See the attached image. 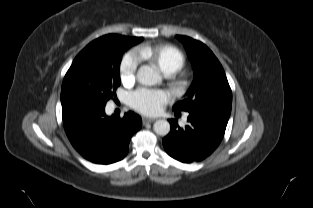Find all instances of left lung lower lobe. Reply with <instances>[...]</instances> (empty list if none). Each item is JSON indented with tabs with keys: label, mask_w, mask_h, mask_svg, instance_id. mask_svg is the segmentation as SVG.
<instances>
[{
	"label": "left lung lower lobe",
	"mask_w": 313,
	"mask_h": 208,
	"mask_svg": "<svg viewBox=\"0 0 313 208\" xmlns=\"http://www.w3.org/2000/svg\"><path fill=\"white\" fill-rule=\"evenodd\" d=\"M229 116L220 112H190L185 128L179 127L177 120L170 119L171 131L163 139L166 152L184 163L205 159L220 144Z\"/></svg>",
	"instance_id": "0a47b994"
}]
</instances>
